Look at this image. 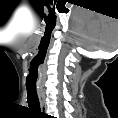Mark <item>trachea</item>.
<instances>
[{"label":"trachea","instance_id":"obj_1","mask_svg":"<svg viewBox=\"0 0 118 118\" xmlns=\"http://www.w3.org/2000/svg\"><path fill=\"white\" fill-rule=\"evenodd\" d=\"M27 102L29 107L40 111V104L36 89L27 88Z\"/></svg>","mask_w":118,"mask_h":118}]
</instances>
